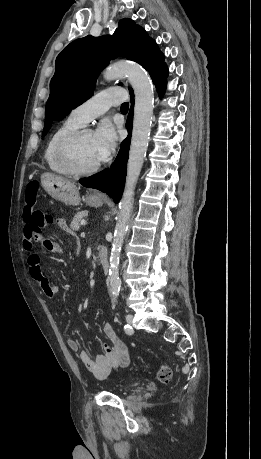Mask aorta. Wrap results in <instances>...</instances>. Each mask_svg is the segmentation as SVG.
<instances>
[{"mask_svg":"<svg viewBox=\"0 0 261 459\" xmlns=\"http://www.w3.org/2000/svg\"><path fill=\"white\" fill-rule=\"evenodd\" d=\"M124 76L127 77L134 90L135 106L125 188L119 203V213L110 255L109 280L113 298H117L119 295L121 285L119 279L120 253L132 212L136 183L148 148L154 108L153 84L148 73L140 65L115 63L103 72V77L107 81L120 79Z\"/></svg>","mask_w":261,"mask_h":459,"instance_id":"1","label":"aorta"}]
</instances>
